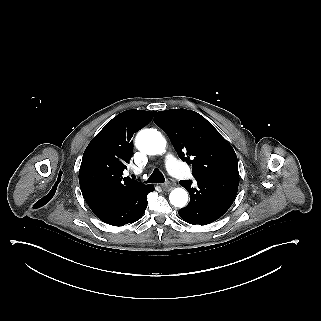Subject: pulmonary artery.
Wrapping results in <instances>:
<instances>
[{"instance_id": "obj_1", "label": "pulmonary artery", "mask_w": 321, "mask_h": 321, "mask_svg": "<svg viewBox=\"0 0 321 321\" xmlns=\"http://www.w3.org/2000/svg\"><path fill=\"white\" fill-rule=\"evenodd\" d=\"M165 165L171 173H174V176L178 180H185L188 177V170L184 166H181V163L175 155H168L165 158Z\"/></svg>"}]
</instances>
